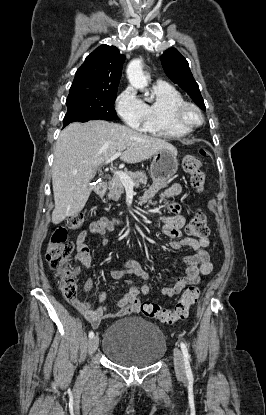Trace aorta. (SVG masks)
<instances>
[{
  "mask_svg": "<svg viewBox=\"0 0 266 415\" xmlns=\"http://www.w3.org/2000/svg\"><path fill=\"white\" fill-rule=\"evenodd\" d=\"M127 76L133 87L140 89L141 91H146L145 87L147 86V79L143 73L141 60L135 59L129 63L127 67Z\"/></svg>",
  "mask_w": 266,
  "mask_h": 415,
  "instance_id": "aorta-1",
  "label": "aorta"
}]
</instances>
